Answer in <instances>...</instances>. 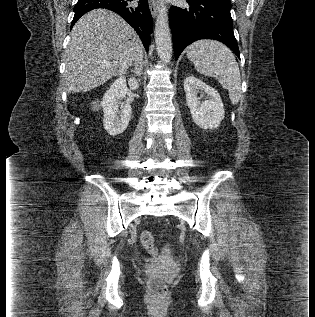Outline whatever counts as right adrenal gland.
I'll return each instance as SVG.
<instances>
[{
  "label": "right adrenal gland",
  "mask_w": 315,
  "mask_h": 317,
  "mask_svg": "<svg viewBox=\"0 0 315 317\" xmlns=\"http://www.w3.org/2000/svg\"><path fill=\"white\" fill-rule=\"evenodd\" d=\"M142 70H143L142 63H140V64H138V65H135L134 70H132V72L134 73V75L138 77L139 82H140V77H141L142 74H143Z\"/></svg>",
  "instance_id": "right-adrenal-gland-1"
}]
</instances>
